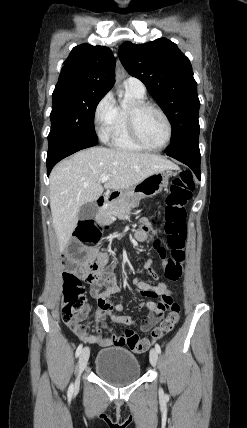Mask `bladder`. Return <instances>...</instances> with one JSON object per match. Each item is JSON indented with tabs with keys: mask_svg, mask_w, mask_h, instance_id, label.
<instances>
[{
	"mask_svg": "<svg viewBox=\"0 0 247 428\" xmlns=\"http://www.w3.org/2000/svg\"><path fill=\"white\" fill-rule=\"evenodd\" d=\"M94 370L101 379L117 386L135 382L141 376L137 356L120 346L100 350L95 359Z\"/></svg>",
	"mask_w": 247,
	"mask_h": 428,
	"instance_id": "bladder-1",
	"label": "bladder"
}]
</instances>
